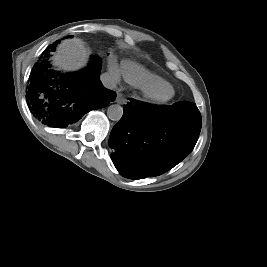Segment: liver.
Returning <instances> with one entry per match:
<instances>
[{
  "mask_svg": "<svg viewBox=\"0 0 267 267\" xmlns=\"http://www.w3.org/2000/svg\"><path fill=\"white\" fill-rule=\"evenodd\" d=\"M88 56L89 52L80 39H67L58 46L53 64L65 71H75L86 65Z\"/></svg>",
  "mask_w": 267,
  "mask_h": 267,
  "instance_id": "liver-1",
  "label": "liver"
}]
</instances>
